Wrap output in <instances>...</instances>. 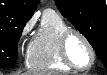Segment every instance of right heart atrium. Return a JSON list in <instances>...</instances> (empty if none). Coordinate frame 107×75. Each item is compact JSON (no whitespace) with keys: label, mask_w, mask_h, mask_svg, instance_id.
Here are the masks:
<instances>
[{"label":"right heart atrium","mask_w":107,"mask_h":75,"mask_svg":"<svg viewBox=\"0 0 107 75\" xmlns=\"http://www.w3.org/2000/svg\"><path fill=\"white\" fill-rule=\"evenodd\" d=\"M30 30V23H26L18 35V41L22 42Z\"/></svg>","instance_id":"obj_1"}]
</instances>
